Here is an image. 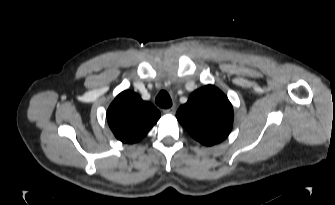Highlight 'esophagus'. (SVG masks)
Returning a JSON list of instances; mask_svg holds the SVG:
<instances>
[{
    "label": "esophagus",
    "mask_w": 335,
    "mask_h": 205,
    "mask_svg": "<svg viewBox=\"0 0 335 205\" xmlns=\"http://www.w3.org/2000/svg\"><path fill=\"white\" fill-rule=\"evenodd\" d=\"M175 112H176V107L175 106L163 110L164 114H174Z\"/></svg>",
    "instance_id": "34e87169"
}]
</instances>
